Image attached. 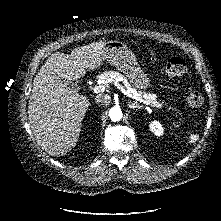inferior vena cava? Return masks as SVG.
I'll return each mask as SVG.
<instances>
[{"label":"inferior vena cava","instance_id":"obj_1","mask_svg":"<svg viewBox=\"0 0 221 221\" xmlns=\"http://www.w3.org/2000/svg\"><path fill=\"white\" fill-rule=\"evenodd\" d=\"M95 102H96V103L107 104V103H108V99H107L105 96H103V95H97V96L95 97Z\"/></svg>","mask_w":221,"mask_h":221}]
</instances>
